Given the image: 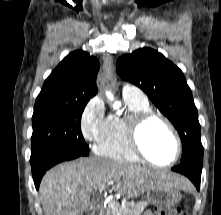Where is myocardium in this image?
I'll return each instance as SVG.
<instances>
[{"mask_svg":"<svg viewBox=\"0 0 221 215\" xmlns=\"http://www.w3.org/2000/svg\"><path fill=\"white\" fill-rule=\"evenodd\" d=\"M152 119L160 120L168 128L175 141V155L171 161L164 164L153 161L145 153L141 145V132L144 126ZM126 137L130 149L137 157L157 167L167 168L173 166L179 160L182 153L181 139L174 125L163 114L152 109L134 113L128 117L126 121Z\"/></svg>","mask_w":221,"mask_h":215,"instance_id":"f54148a6","label":"myocardium"}]
</instances>
